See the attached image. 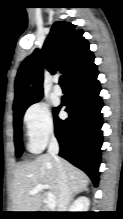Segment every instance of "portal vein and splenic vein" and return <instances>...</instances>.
<instances>
[{
    "label": "portal vein and splenic vein",
    "mask_w": 123,
    "mask_h": 219,
    "mask_svg": "<svg viewBox=\"0 0 123 219\" xmlns=\"http://www.w3.org/2000/svg\"><path fill=\"white\" fill-rule=\"evenodd\" d=\"M44 189H48V185L46 184H38L37 186H35L31 191H29V194L33 195L36 194ZM46 203L47 206L50 209H54L56 206V201H55V197L51 192L47 193V197H46Z\"/></svg>",
    "instance_id": "obj_1"
}]
</instances>
